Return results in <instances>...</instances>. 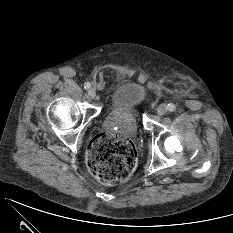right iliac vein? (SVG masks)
<instances>
[{
  "label": "right iliac vein",
  "instance_id": "obj_1",
  "mask_svg": "<svg viewBox=\"0 0 233 233\" xmlns=\"http://www.w3.org/2000/svg\"><path fill=\"white\" fill-rule=\"evenodd\" d=\"M88 95L91 97V98H95L96 97V90L91 88L88 90Z\"/></svg>",
  "mask_w": 233,
  "mask_h": 233
}]
</instances>
